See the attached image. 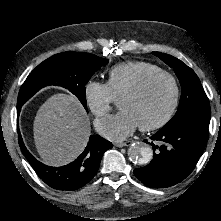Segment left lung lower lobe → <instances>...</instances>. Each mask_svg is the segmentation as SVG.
Masks as SVG:
<instances>
[{
    "mask_svg": "<svg viewBox=\"0 0 221 221\" xmlns=\"http://www.w3.org/2000/svg\"><path fill=\"white\" fill-rule=\"evenodd\" d=\"M208 136V126L197 123L184 124L171 131H158L150 139L163 144L159 147L151 143L154 157L148 165L135 169V176L152 188H165L181 182L193 171Z\"/></svg>",
    "mask_w": 221,
    "mask_h": 221,
    "instance_id": "left-lung-lower-lobe-1",
    "label": "left lung lower lobe"
}]
</instances>
